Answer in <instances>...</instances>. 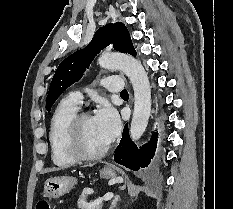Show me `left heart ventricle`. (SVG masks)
Segmentation results:
<instances>
[{
    "mask_svg": "<svg viewBox=\"0 0 233 209\" xmlns=\"http://www.w3.org/2000/svg\"><path fill=\"white\" fill-rule=\"evenodd\" d=\"M108 142L99 132L94 118H86L80 126V145L87 152H97Z\"/></svg>",
    "mask_w": 233,
    "mask_h": 209,
    "instance_id": "1",
    "label": "left heart ventricle"
}]
</instances>
